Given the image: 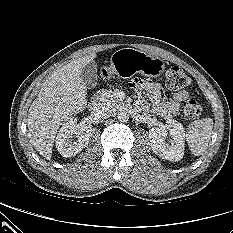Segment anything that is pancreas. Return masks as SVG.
<instances>
[{
    "mask_svg": "<svg viewBox=\"0 0 233 233\" xmlns=\"http://www.w3.org/2000/svg\"><path fill=\"white\" fill-rule=\"evenodd\" d=\"M118 92L119 89H114V90L103 89L99 91V96L103 103L111 107H117L123 103L122 100L118 98Z\"/></svg>",
    "mask_w": 233,
    "mask_h": 233,
    "instance_id": "cf45deb5",
    "label": "pancreas"
}]
</instances>
